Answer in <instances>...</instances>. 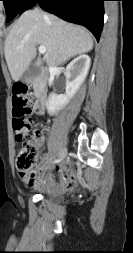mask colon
<instances>
[{"mask_svg": "<svg viewBox=\"0 0 133 253\" xmlns=\"http://www.w3.org/2000/svg\"><path fill=\"white\" fill-rule=\"evenodd\" d=\"M29 97L27 87L18 85L13 89V130L15 139L22 143V148L16 158L19 172L30 171L36 163L38 156V141L41 134L32 128L31 121L27 118L31 113L28 106Z\"/></svg>", "mask_w": 133, "mask_h": 253, "instance_id": "5ec220e1", "label": "colon"}]
</instances>
